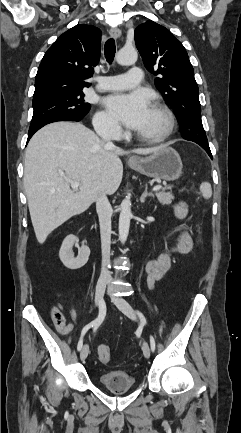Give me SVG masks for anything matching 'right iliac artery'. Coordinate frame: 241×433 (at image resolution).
Segmentation results:
<instances>
[{"label":"right iliac artery","instance_id":"82829eb1","mask_svg":"<svg viewBox=\"0 0 241 433\" xmlns=\"http://www.w3.org/2000/svg\"><path fill=\"white\" fill-rule=\"evenodd\" d=\"M106 315V306L104 301L102 300L100 305H99V315L98 317L92 321L91 323L87 324L81 331V337L79 339L78 345H77V350L80 351L82 349L83 346V336L85 335V333L91 328V327H98L104 320Z\"/></svg>","mask_w":241,"mask_h":433}]
</instances>
